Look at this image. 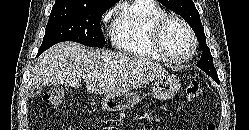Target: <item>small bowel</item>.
I'll use <instances>...</instances> for the list:
<instances>
[{
  "instance_id": "obj_1",
  "label": "small bowel",
  "mask_w": 249,
  "mask_h": 130,
  "mask_svg": "<svg viewBox=\"0 0 249 130\" xmlns=\"http://www.w3.org/2000/svg\"><path fill=\"white\" fill-rule=\"evenodd\" d=\"M173 128H177V126H174ZM67 130H81L78 127L70 126Z\"/></svg>"
}]
</instances>
